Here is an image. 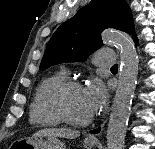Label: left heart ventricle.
I'll use <instances>...</instances> for the list:
<instances>
[{
  "instance_id": "1",
  "label": "left heart ventricle",
  "mask_w": 155,
  "mask_h": 149,
  "mask_svg": "<svg viewBox=\"0 0 155 149\" xmlns=\"http://www.w3.org/2000/svg\"><path fill=\"white\" fill-rule=\"evenodd\" d=\"M64 103L68 114L76 120H83L91 116L85 102L83 88L69 90L65 95Z\"/></svg>"
}]
</instances>
